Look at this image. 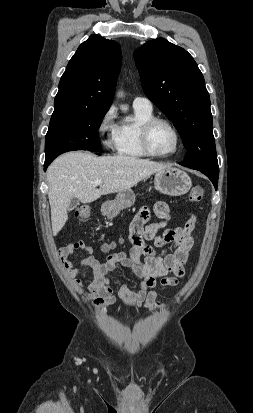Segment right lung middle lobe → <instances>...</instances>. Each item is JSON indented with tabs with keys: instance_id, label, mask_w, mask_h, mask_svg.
I'll return each mask as SVG.
<instances>
[{
	"instance_id": "obj_1",
	"label": "right lung middle lobe",
	"mask_w": 253,
	"mask_h": 413,
	"mask_svg": "<svg viewBox=\"0 0 253 413\" xmlns=\"http://www.w3.org/2000/svg\"><path fill=\"white\" fill-rule=\"evenodd\" d=\"M107 111L52 116L45 137V160L74 150L103 152L98 129Z\"/></svg>"
}]
</instances>
